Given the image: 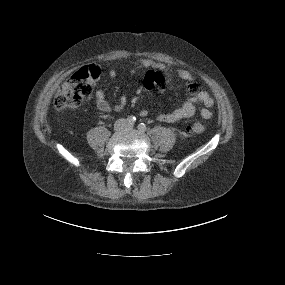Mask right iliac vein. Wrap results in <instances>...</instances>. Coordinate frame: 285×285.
<instances>
[{"label":"right iliac vein","instance_id":"right-iliac-vein-1","mask_svg":"<svg viewBox=\"0 0 285 285\" xmlns=\"http://www.w3.org/2000/svg\"><path fill=\"white\" fill-rule=\"evenodd\" d=\"M125 127H126V123L123 120L119 121L116 125V129H118V130H122Z\"/></svg>","mask_w":285,"mask_h":285}]
</instances>
